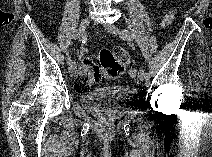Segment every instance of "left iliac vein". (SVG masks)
<instances>
[{
  "mask_svg": "<svg viewBox=\"0 0 212 157\" xmlns=\"http://www.w3.org/2000/svg\"><path fill=\"white\" fill-rule=\"evenodd\" d=\"M104 28L109 31L110 33L114 34V35H122V32L120 31V29L113 25V24H104L103 25ZM138 78L140 81H144L145 77H144V71L143 69H140L138 72Z\"/></svg>",
  "mask_w": 212,
  "mask_h": 157,
  "instance_id": "4c4485c4",
  "label": "left iliac vein"
}]
</instances>
